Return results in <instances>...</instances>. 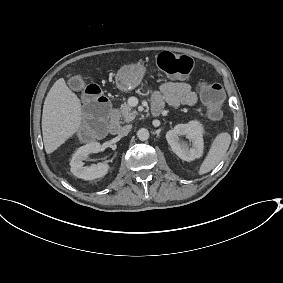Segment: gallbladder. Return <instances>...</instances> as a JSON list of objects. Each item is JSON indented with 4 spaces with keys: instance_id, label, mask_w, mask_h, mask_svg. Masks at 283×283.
<instances>
[{
    "instance_id": "obj_1",
    "label": "gallbladder",
    "mask_w": 283,
    "mask_h": 283,
    "mask_svg": "<svg viewBox=\"0 0 283 283\" xmlns=\"http://www.w3.org/2000/svg\"><path fill=\"white\" fill-rule=\"evenodd\" d=\"M68 86L72 90L79 92V91H82V90L85 89L86 83H85V80L82 77L73 76L68 80Z\"/></svg>"
}]
</instances>
